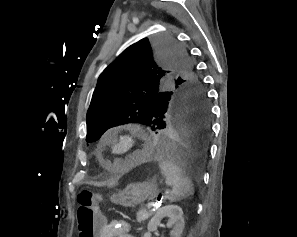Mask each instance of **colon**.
<instances>
[{"label": "colon", "instance_id": "1", "mask_svg": "<svg viewBox=\"0 0 297 237\" xmlns=\"http://www.w3.org/2000/svg\"><path fill=\"white\" fill-rule=\"evenodd\" d=\"M78 232L79 237H97L103 221L98 207L102 201L101 195L90 190H83L78 194Z\"/></svg>", "mask_w": 297, "mask_h": 237}]
</instances>
